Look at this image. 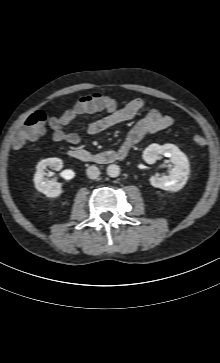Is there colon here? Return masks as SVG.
I'll list each match as a JSON object with an SVG mask.
<instances>
[{"mask_svg": "<svg viewBox=\"0 0 220 363\" xmlns=\"http://www.w3.org/2000/svg\"><path fill=\"white\" fill-rule=\"evenodd\" d=\"M94 97L104 99L106 96L96 93ZM52 119L50 112L38 110L30 114L22 124L14 142V148H20L24 144L39 138L44 132L45 124ZM193 141L197 146H205L206 138L202 134H196Z\"/></svg>", "mask_w": 220, "mask_h": 363, "instance_id": "obj_1", "label": "colon"}]
</instances>
